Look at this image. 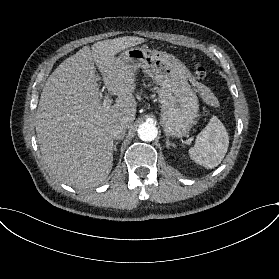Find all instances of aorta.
<instances>
[{
	"label": "aorta",
	"instance_id": "aorta-1",
	"mask_svg": "<svg viewBox=\"0 0 279 279\" xmlns=\"http://www.w3.org/2000/svg\"><path fill=\"white\" fill-rule=\"evenodd\" d=\"M157 134L158 130L152 123L144 122L138 127V136L143 141H153Z\"/></svg>",
	"mask_w": 279,
	"mask_h": 279
}]
</instances>
